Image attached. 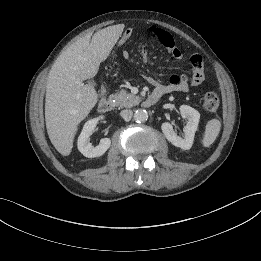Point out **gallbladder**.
Wrapping results in <instances>:
<instances>
[{"label": "gallbladder", "instance_id": "obj_1", "mask_svg": "<svg viewBox=\"0 0 261 261\" xmlns=\"http://www.w3.org/2000/svg\"><path fill=\"white\" fill-rule=\"evenodd\" d=\"M89 85H94L93 81H88Z\"/></svg>", "mask_w": 261, "mask_h": 261}]
</instances>
